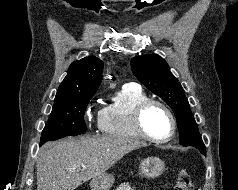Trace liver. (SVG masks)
<instances>
[{
	"label": "liver",
	"instance_id": "liver-1",
	"mask_svg": "<svg viewBox=\"0 0 238 190\" xmlns=\"http://www.w3.org/2000/svg\"><path fill=\"white\" fill-rule=\"evenodd\" d=\"M145 146L116 137L68 138L42 146L36 160L37 190H74L103 175L127 153Z\"/></svg>",
	"mask_w": 238,
	"mask_h": 190
}]
</instances>
